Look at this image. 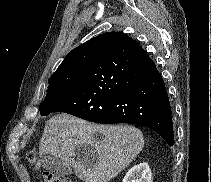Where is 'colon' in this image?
<instances>
[{
    "instance_id": "obj_1",
    "label": "colon",
    "mask_w": 211,
    "mask_h": 182,
    "mask_svg": "<svg viewBox=\"0 0 211 182\" xmlns=\"http://www.w3.org/2000/svg\"><path fill=\"white\" fill-rule=\"evenodd\" d=\"M27 161L29 162V164L35 166L36 168L40 167L38 154L35 150H31L27 153ZM41 176L43 182H75L65 176L56 174L48 170L43 171L41 173Z\"/></svg>"
}]
</instances>
